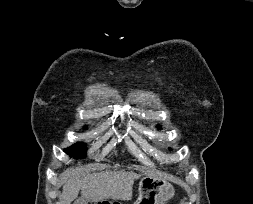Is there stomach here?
Returning a JSON list of instances; mask_svg holds the SVG:
<instances>
[{
  "label": "stomach",
  "instance_id": "1",
  "mask_svg": "<svg viewBox=\"0 0 253 204\" xmlns=\"http://www.w3.org/2000/svg\"><path fill=\"white\" fill-rule=\"evenodd\" d=\"M139 196L134 204H166L175 195L173 185L153 174H145L139 183Z\"/></svg>",
  "mask_w": 253,
  "mask_h": 204
}]
</instances>
